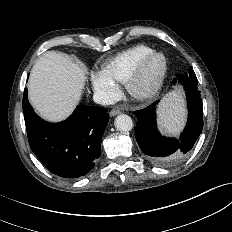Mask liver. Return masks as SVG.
<instances>
[{
    "label": "liver",
    "instance_id": "6515ba94",
    "mask_svg": "<svg viewBox=\"0 0 232 232\" xmlns=\"http://www.w3.org/2000/svg\"><path fill=\"white\" fill-rule=\"evenodd\" d=\"M86 69L68 56L48 51L35 62L28 81L29 99L44 119L67 118L81 99Z\"/></svg>",
    "mask_w": 232,
    "mask_h": 232
}]
</instances>
